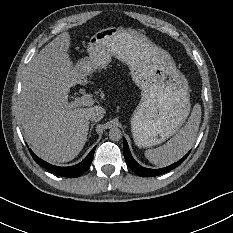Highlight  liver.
I'll list each match as a JSON object with an SVG mask.
<instances>
[{"instance_id":"liver-1","label":"liver","mask_w":233,"mask_h":233,"mask_svg":"<svg viewBox=\"0 0 233 233\" xmlns=\"http://www.w3.org/2000/svg\"><path fill=\"white\" fill-rule=\"evenodd\" d=\"M69 35L61 33L26 67L18 102V118L33 152L43 160L66 163L82 150L88 116L95 108H72L70 87L80 76L66 58ZM103 109V108H102Z\"/></svg>"}]
</instances>
